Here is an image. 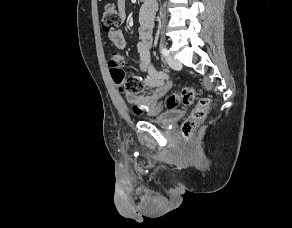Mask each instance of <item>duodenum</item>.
I'll use <instances>...</instances> for the list:
<instances>
[{
  "label": "duodenum",
  "mask_w": 292,
  "mask_h": 228,
  "mask_svg": "<svg viewBox=\"0 0 292 228\" xmlns=\"http://www.w3.org/2000/svg\"><path fill=\"white\" fill-rule=\"evenodd\" d=\"M143 1H144V4L151 5V4H153L154 0H143Z\"/></svg>",
  "instance_id": "410a0bca"
}]
</instances>
